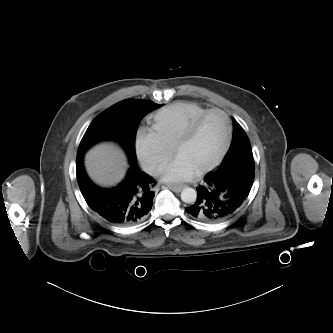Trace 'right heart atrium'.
Returning <instances> with one entry per match:
<instances>
[{"instance_id": "right-heart-atrium-1", "label": "right heart atrium", "mask_w": 333, "mask_h": 333, "mask_svg": "<svg viewBox=\"0 0 333 333\" xmlns=\"http://www.w3.org/2000/svg\"><path fill=\"white\" fill-rule=\"evenodd\" d=\"M136 153L143 167L156 174L168 159L171 147L153 128H140L136 135Z\"/></svg>"}]
</instances>
